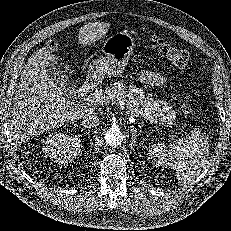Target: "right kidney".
<instances>
[{"label": "right kidney", "instance_id": "obj_1", "mask_svg": "<svg viewBox=\"0 0 231 231\" xmlns=\"http://www.w3.org/2000/svg\"><path fill=\"white\" fill-rule=\"evenodd\" d=\"M80 146L81 141L77 136L55 132L47 137L43 150L54 162L66 164L71 162L78 154Z\"/></svg>", "mask_w": 231, "mask_h": 231}]
</instances>
